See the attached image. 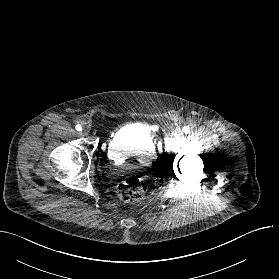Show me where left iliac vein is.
I'll list each match as a JSON object with an SVG mask.
<instances>
[{"mask_svg":"<svg viewBox=\"0 0 279 279\" xmlns=\"http://www.w3.org/2000/svg\"><path fill=\"white\" fill-rule=\"evenodd\" d=\"M174 136H175L176 138L182 137V136H183V131H182V129H181V128H177V129L175 130V132H174Z\"/></svg>","mask_w":279,"mask_h":279,"instance_id":"1","label":"left iliac vein"}]
</instances>
